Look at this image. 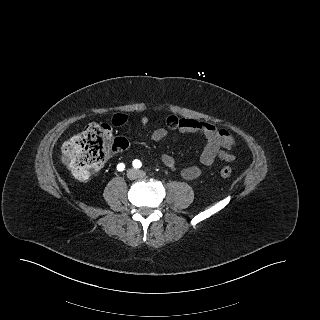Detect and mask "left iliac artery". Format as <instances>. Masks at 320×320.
Segmentation results:
<instances>
[{"mask_svg": "<svg viewBox=\"0 0 320 320\" xmlns=\"http://www.w3.org/2000/svg\"><path fill=\"white\" fill-rule=\"evenodd\" d=\"M133 166L134 168H140L142 166V163L139 160L135 159L133 161Z\"/></svg>", "mask_w": 320, "mask_h": 320, "instance_id": "44dca946", "label": "left iliac artery"}]
</instances>
